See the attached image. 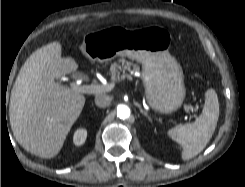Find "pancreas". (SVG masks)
<instances>
[{
  "label": "pancreas",
  "instance_id": "1",
  "mask_svg": "<svg viewBox=\"0 0 245 187\" xmlns=\"http://www.w3.org/2000/svg\"><path fill=\"white\" fill-rule=\"evenodd\" d=\"M129 71L130 73L139 72V66L133 64L131 61H126L125 59H119L118 62H114L110 66L109 75L111 80L120 81L122 80V76L125 75V71ZM122 73V75H121Z\"/></svg>",
  "mask_w": 245,
  "mask_h": 187
}]
</instances>
